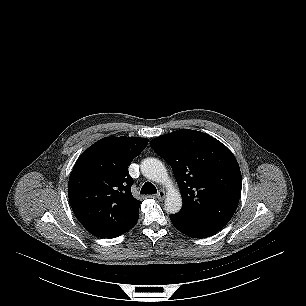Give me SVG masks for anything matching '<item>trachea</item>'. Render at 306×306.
<instances>
[{
  "label": "trachea",
  "instance_id": "1",
  "mask_svg": "<svg viewBox=\"0 0 306 306\" xmlns=\"http://www.w3.org/2000/svg\"><path fill=\"white\" fill-rule=\"evenodd\" d=\"M155 193H157V189H156V187L152 184V183H150V182H146L144 185H143V187H142V189H141V194H155Z\"/></svg>",
  "mask_w": 306,
  "mask_h": 306
}]
</instances>
